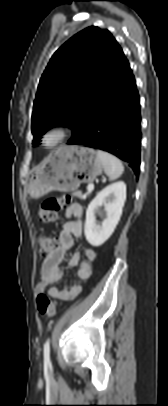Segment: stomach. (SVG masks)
Returning <instances> with one entry per match:
<instances>
[{"instance_id": "0dacf381", "label": "stomach", "mask_w": 168, "mask_h": 406, "mask_svg": "<svg viewBox=\"0 0 168 406\" xmlns=\"http://www.w3.org/2000/svg\"><path fill=\"white\" fill-rule=\"evenodd\" d=\"M103 169L94 149L62 146L32 175L27 192L32 198L42 197L51 191L71 192L81 183L93 182Z\"/></svg>"}]
</instances>
